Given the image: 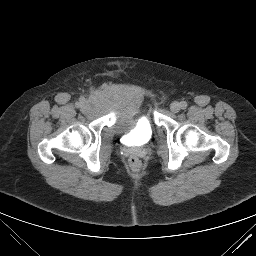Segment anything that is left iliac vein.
<instances>
[{
	"instance_id": "left-iliac-vein-1",
	"label": "left iliac vein",
	"mask_w": 256,
	"mask_h": 256,
	"mask_svg": "<svg viewBox=\"0 0 256 256\" xmlns=\"http://www.w3.org/2000/svg\"><path fill=\"white\" fill-rule=\"evenodd\" d=\"M170 109H171L172 112L177 113V112L180 111L181 105H180L178 102H173V103L170 105Z\"/></svg>"
}]
</instances>
